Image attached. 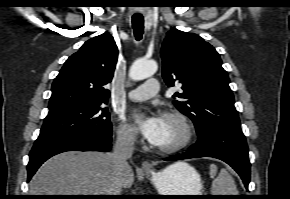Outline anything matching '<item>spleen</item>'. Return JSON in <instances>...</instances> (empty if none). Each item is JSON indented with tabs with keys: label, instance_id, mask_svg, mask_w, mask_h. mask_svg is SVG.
Wrapping results in <instances>:
<instances>
[{
	"label": "spleen",
	"instance_id": "3e777b00",
	"mask_svg": "<svg viewBox=\"0 0 290 199\" xmlns=\"http://www.w3.org/2000/svg\"><path fill=\"white\" fill-rule=\"evenodd\" d=\"M217 166L210 164L209 174L213 179L211 186L212 195H238V191L232 176L226 169H222L217 175ZM217 175V176H216Z\"/></svg>",
	"mask_w": 290,
	"mask_h": 199
}]
</instances>
